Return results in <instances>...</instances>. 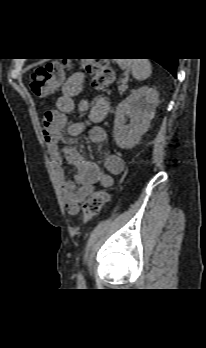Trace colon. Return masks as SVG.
<instances>
[{
	"label": "colon",
	"mask_w": 206,
	"mask_h": 348,
	"mask_svg": "<svg viewBox=\"0 0 206 348\" xmlns=\"http://www.w3.org/2000/svg\"><path fill=\"white\" fill-rule=\"evenodd\" d=\"M65 62H50L36 68L31 75V89L37 96L52 94L61 84L65 74ZM85 71L91 75L92 84L103 89L113 82L115 74L104 59H87L83 62ZM109 193L105 190L94 192L82 206V220L88 222L96 217L109 201Z\"/></svg>",
	"instance_id": "5ec220e1"
}]
</instances>
